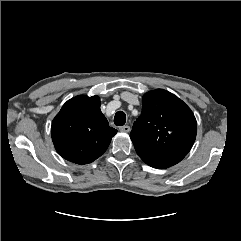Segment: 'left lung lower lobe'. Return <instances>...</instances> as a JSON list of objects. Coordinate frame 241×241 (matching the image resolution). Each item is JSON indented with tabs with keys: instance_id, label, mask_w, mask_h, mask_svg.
Segmentation results:
<instances>
[{
	"instance_id": "0a47b994",
	"label": "left lung lower lobe",
	"mask_w": 241,
	"mask_h": 241,
	"mask_svg": "<svg viewBox=\"0 0 241 241\" xmlns=\"http://www.w3.org/2000/svg\"><path fill=\"white\" fill-rule=\"evenodd\" d=\"M139 157L149 166L157 169H165L180 162L185 156L177 154H163L150 152L135 146Z\"/></svg>"
}]
</instances>
